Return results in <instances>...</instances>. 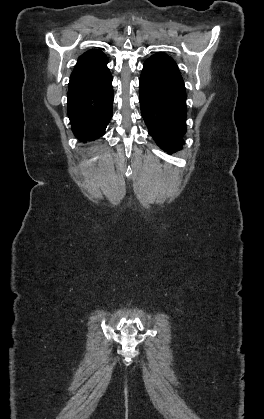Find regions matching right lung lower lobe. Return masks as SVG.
Masks as SVG:
<instances>
[{
    "mask_svg": "<svg viewBox=\"0 0 264 419\" xmlns=\"http://www.w3.org/2000/svg\"><path fill=\"white\" fill-rule=\"evenodd\" d=\"M113 98L110 71L92 84L69 86L68 116L79 140L94 141L105 134L113 114Z\"/></svg>",
    "mask_w": 264,
    "mask_h": 419,
    "instance_id": "right-lung-lower-lobe-1",
    "label": "right lung lower lobe"
}]
</instances>
